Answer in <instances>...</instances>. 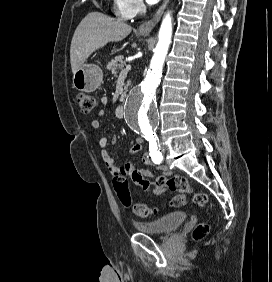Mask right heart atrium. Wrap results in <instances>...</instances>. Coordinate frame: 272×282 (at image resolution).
<instances>
[{
	"instance_id": "right-heart-atrium-1",
	"label": "right heart atrium",
	"mask_w": 272,
	"mask_h": 282,
	"mask_svg": "<svg viewBox=\"0 0 272 282\" xmlns=\"http://www.w3.org/2000/svg\"><path fill=\"white\" fill-rule=\"evenodd\" d=\"M122 4L119 8L123 15L133 17L137 15L143 9L142 0H122Z\"/></svg>"
}]
</instances>
